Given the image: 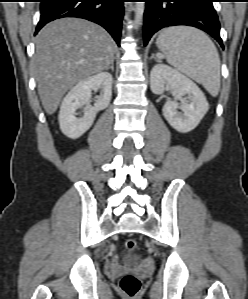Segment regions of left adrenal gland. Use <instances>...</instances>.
Returning a JSON list of instances; mask_svg holds the SVG:
<instances>
[{"instance_id": "left-adrenal-gland-1", "label": "left adrenal gland", "mask_w": 248, "mask_h": 299, "mask_svg": "<svg viewBox=\"0 0 248 299\" xmlns=\"http://www.w3.org/2000/svg\"><path fill=\"white\" fill-rule=\"evenodd\" d=\"M150 59H155L157 62H160V60H158L157 57H155L154 54L151 55Z\"/></svg>"}]
</instances>
